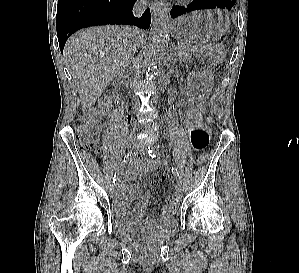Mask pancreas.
I'll use <instances>...</instances> for the list:
<instances>
[{
    "mask_svg": "<svg viewBox=\"0 0 299 273\" xmlns=\"http://www.w3.org/2000/svg\"><path fill=\"white\" fill-rule=\"evenodd\" d=\"M177 57L183 61H187L192 57L191 45L188 43H179L175 47Z\"/></svg>",
    "mask_w": 299,
    "mask_h": 273,
    "instance_id": "pancreas-1",
    "label": "pancreas"
}]
</instances>
